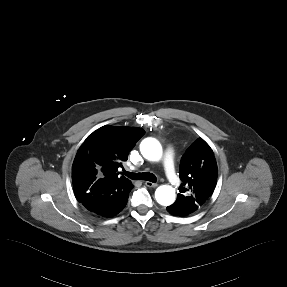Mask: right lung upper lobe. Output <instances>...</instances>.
I'll return each mask as SVG.
<instances>
[{"mask_svg": "<svg viewBox=\"0 0 287 287\" xmlns=\"http://www.w3.org/2000/svg\"><path fill=\"white\" fill-rule=\"evenodd\" d=\"M144 130L136 127L103 126L90 134L79 148L72 166V182L76 198L82 202L93 184L124 182L129 179L119 176L122 161Z\"/></svg>", "mask_w": 287, "mask_h": 287, "instance_id": "right-lung-upper-lobe-1", "label": "right lung upper lobe"}]
</instances>
